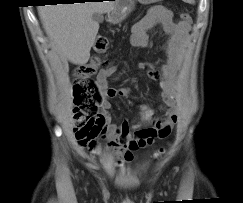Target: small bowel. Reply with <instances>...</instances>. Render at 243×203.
Instances as JSON below:
<instances>
[{
	"label": "small bowel",
	"mask_w": 243,
	"mask_h": 203,
	"mask_svg": "<svg viewBox=\"0 0 243 203\" xmlns=\"http://www.w3.org/2000/svg\"><path fill=\"white\" fill-rule=\"evenodd\" d=\"M157 25L161 26L168 35L164 47L165 59L159 70L149 69L147 75L149 78L159 81L161 108L164 110L161 118H154L153 110L149 106L141 104L136 108L139 124L133 134H131L127 120H122L119 124L111 122L109 98L119 96L128 99L130 89L109 87L108 79L117 72L114 66L101 70L97 75V85L101 91L102 99L92 126L90 143L86 146L96 153L104 149L112 150L118 158V162L131 161L134 152L151 145L156 139L166 138L177 122L176 78L188 41L190 24L174 20L171 11L166 7H152L144 17L133 25L131 45L133 47L146 46L148 30ZM129 103L131 102L129 101ZM142 123H148L150 126L140 127ZM97 139L106 140V144L102 146Z\"/></svg>",
	"instance_id": "obj_1"
}]
</instances>
